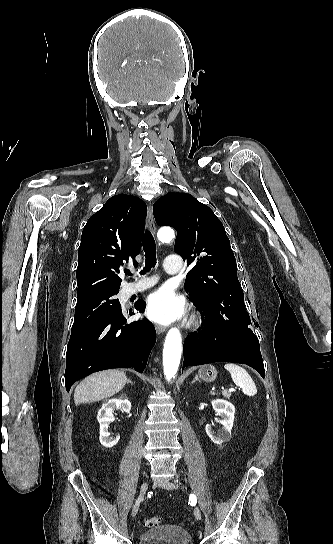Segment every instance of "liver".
<instances>
[{
	"instance_id": "liver-1",
	"label": "liver",
	"mask_w": 333,
	"mask_h": 544,
	"mask_svg": "<svg viewBox=\"0 0 333 544\" xmlns=\"http://www.w3.org/2000/svg\"><path fill=\"white\" fill-rule=\"evenodd\" d=\"M128 379L120 370H105L85 378L75 389L76 405L99 401L123 389Z\"/></svg>"
}]
</instances>
